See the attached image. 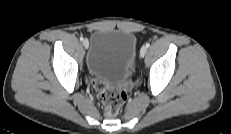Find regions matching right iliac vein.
<instances>
[{
  "instance_id": "1",
  "label": "right iliac vein",
  "mask_w": 231,
  "mask_h": 134,
  "mask_svg": "<svg viewBox=\"0 0 231 134\" xmlns=\"http://www.w3.org/2000/svg\"><path fill=\"white\" fill-rule=\"evenodd\" d=\"M83 45L87 49L89 47V41L87 39L83 40Z\"/></svg>"
}]
</instances>
